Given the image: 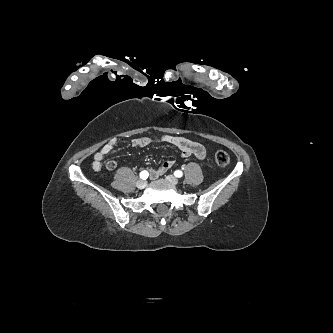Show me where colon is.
Wrapping results in <instances>:
<instances>
[{"mask_svg":"<svg viewBox=\"0 0 333 333\" xmlns=\"http://www.w3.org/2000/svg\"><path fill=\"white\" fill-rule=\"evenodd\" d=\"M215 162L220 167H225L230 162V157L225 151H218L215 154Z\"/></svg>","mask_w":333,"mask_h":333,"instance_id":"5ec220e1","label":"colon"}]
</instances>
